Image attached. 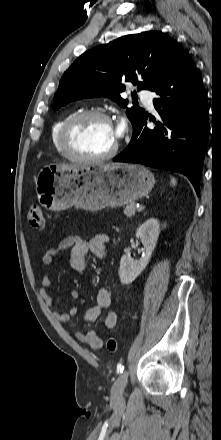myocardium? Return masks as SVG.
Returning <instances> with one entry per match:
<instances>
[{
    "label": "myocardium",
    "instance_id": "f54148a6",
    "mask_svg": "<svg viewBox=\"0 0 221 440\" xmlns=\"http://www.w3.org/2000/svg\"><path fill=\"white\" fill-rule=\"evenodd\" d=\"M89 117H97L106 120L112 126L111 117L102 110L98 109H87L79 111L73 115H71L62 125L59 135L60 147L63 153L67 156V158L77 161V162H101L108 160L115 156L119 148V141L116 138V142L113 147L106 153L98 156H87L77 152L70 143V137L75 126L83 119Z\"/></svg>",
    "mask_w": 221,
    "mask_h": 440
}]
</instances>
